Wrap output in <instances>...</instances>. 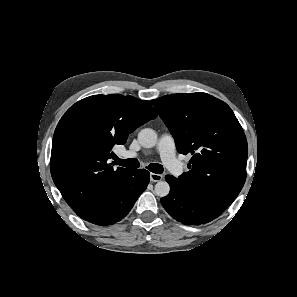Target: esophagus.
<instances>
[{
  "label": "esophagus",
  "instance_id": "1",
  "mask_svg": "<svg viewBox=\"0 0 297 297\" xmlns=\"http://www.w3.org/2000/svg\"><path fill=\"white\" fill-rule=\"evenodd\" d=\"M162 179H163L162 175L156 174V173H150L151 182H158V181H161Z\"/></svg>",
  "mask_w": 297,
  "mask_h": 297
}]
</instances>
